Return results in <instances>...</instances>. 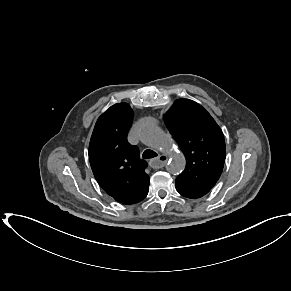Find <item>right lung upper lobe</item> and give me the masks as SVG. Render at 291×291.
<instances>
[{
	"label": "right lung upper lobe",
	"instance_id": "1",
	"mask_svg": "<svg viewBox=\"0 0 291 291\" xmlns=\"http://www.w3.org/2000/svg\"><path fill=\"white\" fill-rule=\"evenodd\" d=\"M133 111L127 103H117L97 120L90 144L89 161L102 189L117 202L134 204L148 194L147 163L137 146L127 141Z\"/></svg>",
	"mask_w": 291,
	"mask_h": 291
}]
</instances>
